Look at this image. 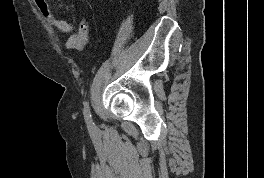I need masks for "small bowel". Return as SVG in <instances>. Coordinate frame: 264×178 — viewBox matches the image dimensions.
I'll use <instances>...</instances> for the list:
<instances>
[{
    "label": "small bowel",
    "instance_id": "1",
    "mask_svg": "<svg viewBox=\"0 0 264 178\" xmlns=\"http://www.w3.org/2000/svg\"><path fill=\"white\" fill-rule=\"evenodd\" d=\"M34 3L43 18L52 28L61 33H70L73 30V23L56 17L47 0H34Z\"/></svg>",
    "mask_w": 264,
    "mask_h": 178
}]
</instances>
